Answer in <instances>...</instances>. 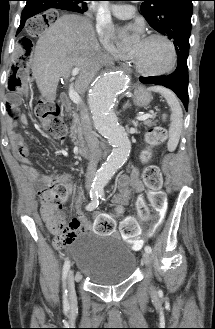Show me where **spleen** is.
I'll return each instance as SVG.
<instances>
[{
	"instance_id": "obj_1",
	"label": "spleen",
	"mask_w": 215,
	"mask_h": 329,
	"mask_svg": "<svg viewBox=\"0 0 215 329\" xmlns=\"http://www.w3.org/2000/svg\"><path fill=\"white\" fill-rule=\"evenodd\" d=\"M149 91H154L160 93L167 101L170 111H171V124L169 128V141H168V150L174 151L178 145L182 126H183V113L180 106V103L175 96V94L169 89L163 87H149Z\"/></svg>"
}]
</instances>
